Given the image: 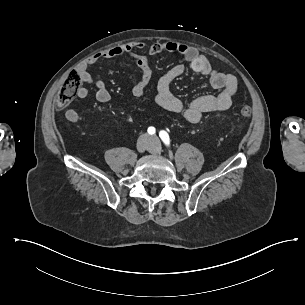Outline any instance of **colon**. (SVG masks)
<instances>
[{
	"label": "colon",
	"mask_w": 305,
	"mask_h": 305,
	"mask_svg": "<svg viewBox=\"0 0 305 305\" xmlns=\"http://www.w3.org/2000/svg\"><path fill=\"white\" fill-rule=\"evenodd\" d=\"M81 84V74L76 69H69L64 74V82L58 95V103L65 108H72L77 103V93ZM242 117H250L252 109L243 107L240 110Z\"/></svg>",
	"instance_id": "obj_1"
}]
</instances>
